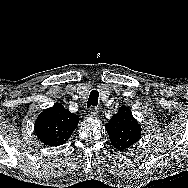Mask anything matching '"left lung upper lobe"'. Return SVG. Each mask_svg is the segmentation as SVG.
<instances>
[{
  "label": "left lung upper lobe",
  "instance_id": "obj_1",
  "mask_svg": "<svg viewBox=\"0 0 188 188\" xmlns=\"http://www.w3.org/2000/svg\"><path fill=\"white\" fill-rule=\"evenodd\" d=\"M106 130L112 145L118 150H124L136 143L141 136V127L132 116L131 110L122 106L106 124Z\"/></svg>",
  "mask_w": 188,
  "mask_h": 188
}]
</instances>
